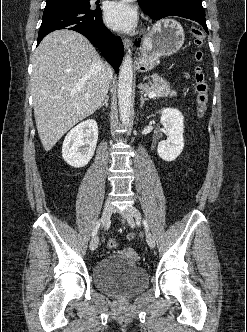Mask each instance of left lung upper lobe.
Wrapping results in <instances>:
<instances>
[{
	"mask_svg": "<svg viewBox=\"0 0 247 332\" xmlns=\"http://www.w3.org/2000/svg\"><path fill=\"white\" fill-rule=\"evenodd\" d=\"M139 6L149 14H160L173 7L202 8V0H138Z\"/></svg>",
	"mask_w": 247,
	"mask_h": 332,
	"instance_id": "obj_1",
	"label": "left lung upper lobe"
}]
</instances>
